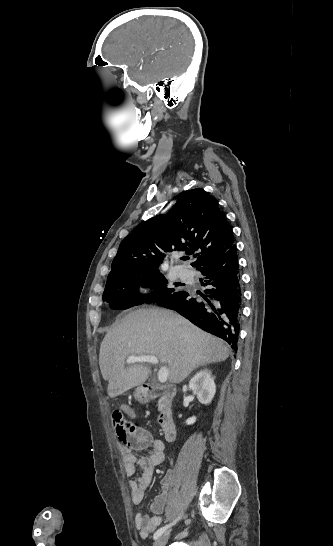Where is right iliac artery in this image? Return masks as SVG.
<instances>
[{"label": "right iliac artery", "instance_id": "1", "mask_svg": "<svg viewBox=\"0 0 333 546\" xmlns=\"http://www.w3.org/2000/svg\"><path fill=\"white\" fill-rule=\"evenodd\" d=\"M180 518V517H179ZM178 518V519H179ZM176 519L173 523L169 524V525H166L164 527H161L160 529H158L155 534H154V539H158L169 527H171L172 525H174L176 523V521L178 520Z\"/></svg>", "mask_w": 333, "mask_h": 546}]
</instances>
